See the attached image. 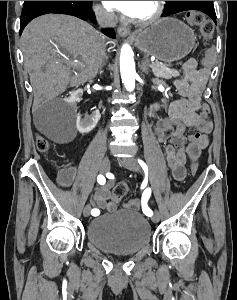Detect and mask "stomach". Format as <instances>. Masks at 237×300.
<instances>
[{
  "instance_id": "obj_1",
  "label": "stomach",
  "mask_w": 237,
  "mask_h": 300,
  "mask_svg": "<svg viewBox=\"0 0 237 300\" xmlns=\"http://www.w3.org/2000/svg\"><path fill=\"white\" fill-rule=\"evenodd\" d=\"M134 35L137 49L165 63L179 61L189 55L196 41L194 31L172 17L158 19Z\"/></svg>"
}]
</instances>
